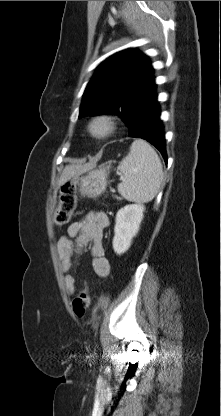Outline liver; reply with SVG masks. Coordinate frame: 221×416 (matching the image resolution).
<instances>
[{"mask_svg": "<svg viewBox=\"0 0 221 416\" xmlns=\"http://www.w3.org/2000/svg\"><path fill=\"white\" fill-rule=\"evenodd\" d=\"M93 167V164L87 163V164H73V165H67L60 177V180L58 182V186H62L65 184L69 179H71L74 176H78L89 169Z\"/></svg>", "mask_w": 221, "mask_h": 416, "instance_id": "liver-1", "label": "liver"}]
</instances>
